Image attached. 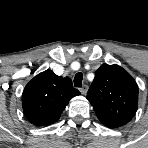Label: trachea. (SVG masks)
I'll use <instances>...</instances> for the list:
<instances>
[{
	"instance_id": "3493384b",
	"label": "trachea",
	"mask_w": 148,
	"mask_h": 148,
	"mask_svg": "<svg viewBox=\"0 0 148 148\" xmlns=\"http://www.w3.org/2000/svg\"><path fill=\"white\" fill-rule=\"evenodd\" d=\"M82 80H83V74L81 72H78L74 78V86L82 87Z\"/></svg>"
}]
</instances>
